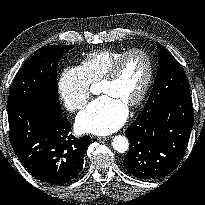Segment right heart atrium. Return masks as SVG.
<instances>
[{
    "instance_id": "right-heart-atrium-1",
    "label": "right heart atrium",
    "mask_w": 205,
    "mask_h": 205,
    "mask_svg": "<svg viewBox=\"0 0 205 205\" xmlns=\"http://www.w3.org/2000/svg\"><path fill=\"white\" fill-rule=\"evenodd\" d=\"M60 100L70 112L82 110L91 94V83L81 66L65 67L57 81Z\"/></svg>"
}]
</instances>
